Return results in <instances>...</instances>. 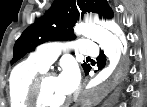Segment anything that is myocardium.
Returning <instances> with one entry per match:
<instances>
[{
	"mask_svg": "<svg viewBox=\"0 0 147 107\" xmlns=\"http://www.w3.org/2000/svg\"><path fill=\"white\" fill-rule=\"evenodd\" d=\"M54 76L55 75L53 72L49 70H44L34 78L28 92V103L30 107H65L70 103L69 99L55 105H50L43 101L42 99L43 84L47 79Z\"/></svg>",
	"mask_w": 147,
	"mask_h": 107,
	"instance_id": "obj_1",
	"label": "myocardium"
}]
</instances>
